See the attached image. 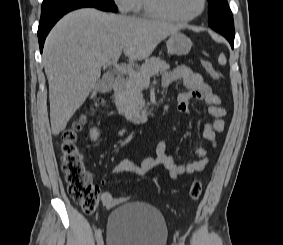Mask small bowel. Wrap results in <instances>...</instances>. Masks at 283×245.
Instances as JSON below:
<instances>
[{"label":"small bowel","instance_id":"obj_1","mask_svg":"<svg viewBox=\"0 0 283 245\" xmlns=\"http://www.w3.org/2000/svg\"><path fill=\"white\" fill-rule=\"evenodd\" d=\"M177 81H180L186 89L177 96L178 111L183 115H188L189 105L193 100L203 103L213 121L204 124L202 134L212 147H216V134L224 130L223 118L226 115L225 109L221 106L220 97L213 92L200 74L186 66H179L165 72L162 76V83L166 88ZM125 132V129L118 130L116 136L121 137ZM192 157L190 162L177 163L171 149L162 140L158 143L154 156L146 158L139 165L128 160L121 161L113 168L112 172L119 174L128 171L137 175H145L154 171L158 166H163L171 178H177L202 171L209 163V155L205 147H199Z\"/></svg>","mask_w":283,"mask_h":245}]
</instances>
